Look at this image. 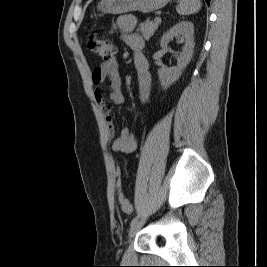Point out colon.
Returning a JSON list of instances; mask_svg holds the SVG:
<instances>
[{
    "label": "colon",
    "mask_w": 267,
    "mask_h": 267,
    "mask_svg": "<svg viewBox=\"0 0 267 267\" xmlns=\"http://www.w3.org/2000/svg\"><path fill=\"white\" fill-rule=\"evenodd\" d=\"M88 48L90 49L91 52L101 57L106 62L111 61L116 52V48L114 44L110 40L98 35L97 33H92L89 35ZM116 175L118 177L117 188H118V202H119L120 208L124 213L130 214L132 212V205L121 191V180H120V169L119 168H117L116 170Z\"/></svg>",
    "instance_id": "1"
}]
</instances>
